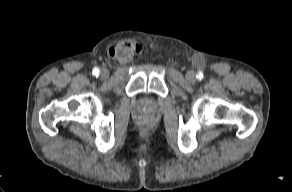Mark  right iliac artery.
<instances>
[{
  "label": "right iliac artery",
  "instance_id": "obj_1",
  "mask_svg": "<svg viewBox=\"0 0 292 192\" xmlns=\"http://www.w3.org/2000/svg\"><path fill=\"white\" fill-rule=\"evenodd\" d=\"M100 73V70L96 67L93 69V75L98 76Z\"/></svg>",
  "mask_w": 292,
  "mask_h": 192
}]
</instances>
